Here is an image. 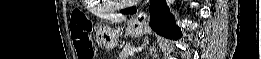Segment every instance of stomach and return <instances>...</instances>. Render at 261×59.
Returning a JSON list of instances; mask_svg holds the SVG:
<instances>
[{"label":"stomach","mask_w":261,"mask_h":59,"mask_svg":"<svg viewBox=\"0 0 261 59\" xmlns=\"http://www.w3.org/2000/svg\"><path fill=\"white\" fill-rule=\"evenodd\" d=\"M146 31L147 28L143 23L132 20L128 22L125 34L127 36L139 37L145 34ZM120 34L121 32L119 29H113L108 25L100 27L96 32V36L100 43L109 51L117 47Z\"/></svg>","instance_id":"1"}]
</instances>
